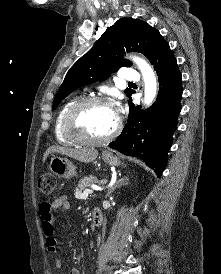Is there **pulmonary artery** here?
Masks as SVG:
<instances>
[{
    "instance_id": "1",
    "label": "pulmonary artery",
    "mask_w": 221,
    "mask_h": 274,
    "mask_svg": "<svg viewBox=\"0 0 221 274\" xmlns=\"http://www.w3.org/2000/svg\"><path fill=\"white\" fill-rule=\"evenodd\" d=\"M119 77L122 80H126V81H136L139 79V74L133 68H123L120 72Z\"/></svg>"
}]
</instances>
